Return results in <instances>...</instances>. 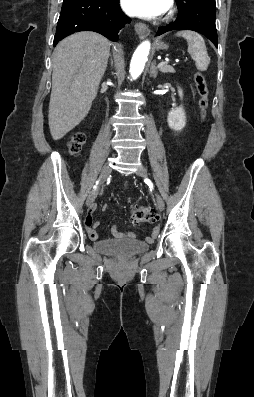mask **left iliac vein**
I'll return each instance as SVG.
<instances>
[{
	"mask_svg": "<svg viewBox=\"0 0 254 397\" xmlns=\"http://www.w3.org/2000/svg\"><path fill=\"white\" fill-rule=\"evenodd\" d=\"M136 175L146 178L148 175L146 168L143 166H140L136 171ZM157 207L160 211H163L164 207H165L164 201H163L162 197L159 195H157Z\"/></svg>",
	"mask_w": 254,
	"mask_h": 397,
	"instance_id": "4c4485c4",
	"label": "left iliac vein"
}]
</instances>
